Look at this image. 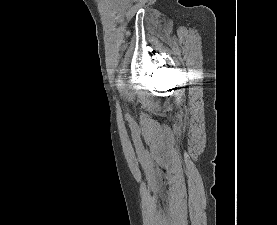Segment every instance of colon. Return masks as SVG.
I'll use <instances>...</instances> for the list:
<instances>
[{"label": "colon", "instance_id": "1", "mask_svg": "<svg viewBox=\"0 0 277 225\" xmlns=\"http://www.w3.org/2000/svg\"><path fill=\"white\" fill-rule=\"evenodd\" d=\"M132 1H136V0H132ZM125 47V44H123L122 46H121V49H123Z\"/></svg>", "mask_w": 277, "mask_h": 225}]
</instances>
